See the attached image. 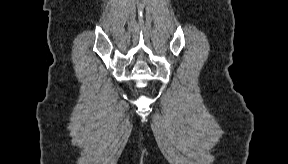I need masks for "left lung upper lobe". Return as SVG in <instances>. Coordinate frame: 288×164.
<instances>
[{"instance_id": "obj_1", "label": "left lung upper lobe", "mask_w": 288, "mask_h": 164, "mask_svg": "<svg viewBox=\"0 0 288 164\" xmlns=\"http://www.w3.org/2000/svg\"><path fill=\"white\" fill-rule=\"evenodd\" d=\"M248 82H249V83H253L254 80H253L252 78H248Z\"/></svg>"}]
</instances>
